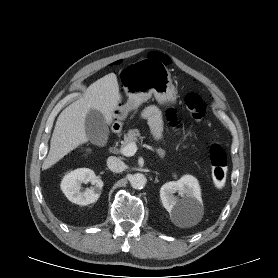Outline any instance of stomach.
<instances>
[{
    "label": "stomach",
    "mask_w": 278,
    "mask_h": 278,
    "mask_svg": "<svg viewBox=\"0 0 278 278\" xmlns=\"http://www.w3.org/2000/svg\"><path fill=\"white\" fill-rule=\"evenodd\" d=\"M121 84L128 97L126 104L115 109V118L122 120L154 95L160 105L174 102L176 91L167 66L155 58L139 60L121 71Z\"/></svg>",
    "instance_id": "stomach-1"
}]
</instances>
